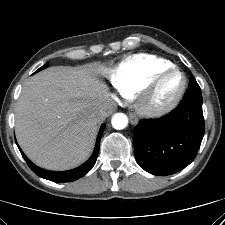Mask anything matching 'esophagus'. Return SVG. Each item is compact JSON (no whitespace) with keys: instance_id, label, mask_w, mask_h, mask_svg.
Segmentation results:
<instances>
[{"instance_id":"esophagus-1","label":"esophagus","mask_w":225,"mask_h":225,"mask_svg":"<svg viewBox=\"0 0 225 225\" xmlns=\"http://www.w3.org/2000/svg\"><path fill=\"white\" fill-rule=\"evenodd\" d=\"M129 119H130L131 124H133V125H136L138 123L137 116L132 112L129 113Z\"/></svg>"}]
</instances>
